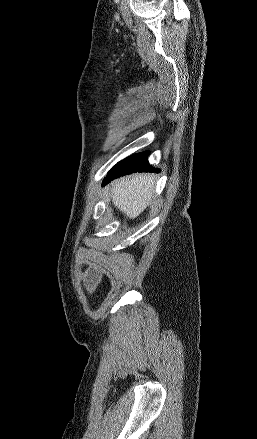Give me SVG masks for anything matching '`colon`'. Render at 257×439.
<instances>
[{"instance_id":"obj_1","label":"colon","mask_w":257,"mask_h":439,"mask_svg":"<svg viewBox=\"0 0 257 439\" xmlns=\"http://www.w3.org/2000/svg\"><path fill=\"white\" fill-rule=\"evenodd\" d=\"M100 276L95 270H89L85 275V286L88 291H94L99 283Z\"/></svg>"}]
</instances>
